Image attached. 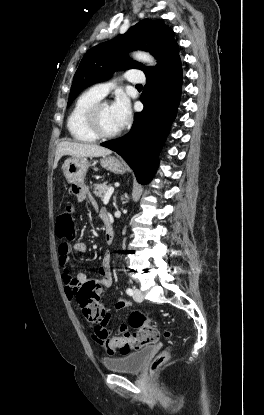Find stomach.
I'll return each instance as SVG.
<instances>
[{"label": "stomach", "mask_w": 264, "mask_h": 415, "mask_svg": "<svg viewBox=\"0 0 264 415\" xmlns=\"http://www.w3.org/2000/svg\"><path fill=\"white\" fill-rule=\"evenodd\" d=\"M89 163L87 157H70L66 159L62 166L66 180L77 186L82 185ZM100 164L104 169L116 174H124L126 171L124 163L114 156H103L100 159Z\"/></svg>", "instance_id": "1"}]
</instances>
